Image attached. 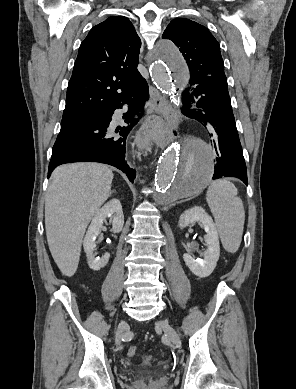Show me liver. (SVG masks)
Returning <instances> with one entry per match:
<instances>
[{"instance_id": "liver-1", "label": "liver", "mask_w": 296, "mask_h": 389, "mask_svg": "<svg viewBox=\"0 0 296 389\" xmlns=\"http://www.w3.org/2000/svg\"><path fill=\"white\" fill-rule=\"evenodd\" d=\"M45 200V229L52 257L63 275L75 274L86 228L109 198L112 170L99 163H71L52 173Z\"/></svg>"}]
</instances>
